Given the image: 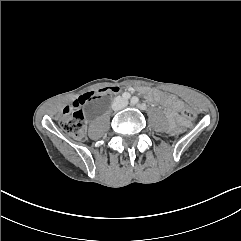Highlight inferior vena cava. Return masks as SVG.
Wrapping results in <instances>:
<instances>
[{
  "mask_svg": "<svg viewBox=\"0 0 241 241\" xmlns=\"http://www.w3.org/2000/svg\"><path fill=\"white\" fill-rule=\"evenodd\" d=\"M127 105H128V101L118 96L114 99V102L112 104V109L114 111H118L125 108Z\"/></svg>",
  "mask_w": 241,
  "mask_h": 241,
  "instance_id": "602c4592",
  "label": "inferior vena cava"
}]
</instances>
